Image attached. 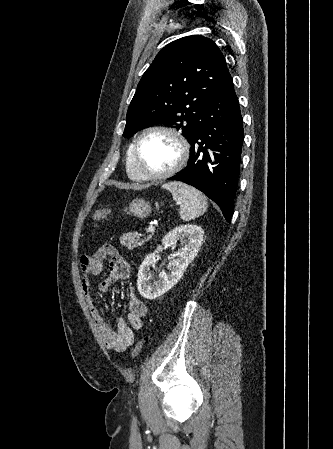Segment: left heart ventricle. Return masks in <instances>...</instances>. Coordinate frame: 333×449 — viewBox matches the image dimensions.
Wrapping results in <instances>:
<instances>
[{
	"mask_svg": "<svg viewBox=\"0 0 333 449\" xmlns=\"http://www.w3.org/2000/svg\"><path fill=\"white\" fill-rule=\"evenodd\" d=\"M139 157L143 172L160 173L176 162L178 147L168 135L151 133L142 140Z\"/></svg>",
	"mask_w": 333,
	"mask_h": 449,
	"instance_id": "obj_1",
	"label": "left heart ventricle"
}]
</instances>
